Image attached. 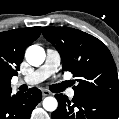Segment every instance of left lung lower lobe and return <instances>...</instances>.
Returning a JSON list of instances; mask_svg holds the SVG:
<instances>
[{"label": "left lung lower lobe", "instance_id": "0a47b994", "mask_svg": "<svg viewBox=\"0 0 119 119\" xmlns=\"http://www.w3.org/2000/svg\"><path fill=\"white\" fill-rule=\"evenodd\" d=\"M58 108L52 119H118L119 99L92 97L75 93L72 100L63 94H56Z\"/></svg>", "mask_w": 119, "mask_h": 119}]
</instances>
